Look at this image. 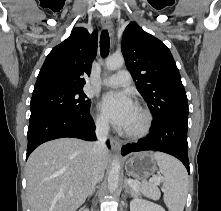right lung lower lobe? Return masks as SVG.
Wrapping results in <instances>:
<instances>
[{
  "label": "right lung lower lobe",
  "mask_w": 221,
  "mask_h": 211,
  "mask_svg": "<svg viewBox=\"0 0 221 211\" xmlns=\"http://www.w3.org/2000/svg\"><path fill=\"white\" fill-rule=\"evenodd\" d=\"M26 159L40 144L57 138L74 137L96 140L95 125L90 109L83 114L44 113L30 118ZM107 145L110 146L109 142Z\"/></svg>",
  "instance_id": "98d812e1"
}]
</instances>
